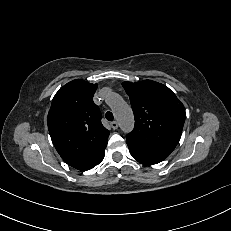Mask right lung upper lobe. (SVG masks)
I'll return each mask as SVG.
<instances>
[{"label":"right lung upper lobe","instance_id":"right-lung-upper-lobe-1","mask_svg":"<svg viewBox=\"0 0 231 231\" xmlns=\"http://www.w3.org/2000/svg\"><path fill=\"white\" fill-rule=\"evenodd\" d=\"M96 89L97 84L73 80L55 94L48 113V129L56 150L68 165L81 171L103 160L110 134L93 102Z\"/></svg>","mask_w":231,"mask_h":231}]
</instances>
